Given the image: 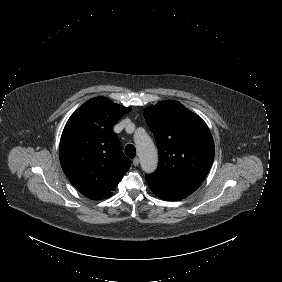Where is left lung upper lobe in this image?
<instances>
[{
  "label": "left lung upper lobe",
  "instance_id": "obj_1",
  "mask_svg": "<svg viewBox=\"0 0 282 282\" xmlns=\"http://www.w3.org/2000/svg\"><path fill=\"white\" fill-rule=\"evenodd\" d=\"M159 151L155 176L201 183L214 160V142L205 122L177 101L144 111Z\"/></svg>",
  "mask_w": 282,
  "mask_h": 282
}]
</instances>
